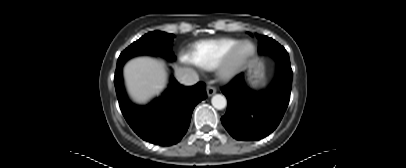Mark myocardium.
I'll return each instance as SVG.
<instances>
[{"instance_id":"f54148a6","label":"myocardium","mask_w":406,"mask_h":168,"mask_svg":"<svg viewBox=\"0 0 406 168\" xmlns=\"http://www.w3.org/2000/svg\"><path fill=\"white\" fill-rule=\"evenodd\" d=\"M250 46L251 50L247 54H242L245 46ZM256 46L248 40L237 43L219 64L218 76L222 80H230L235 77L255 56Z\"/></svg>"}]
</instances>
